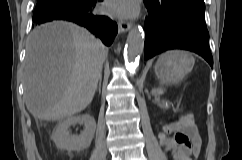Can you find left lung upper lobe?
<instances>
[{
	"mask_svg": "<svg viewBox=\"0 0 242 160\" xmlns=\"http://www.w3.org/2000/svg\"><path fill=\"white\" fill-rule=\"evenodd\" d=\"M164 6L172 9L176 8H192L199 11H205L204 0H154Z\"/></svg>",
	"mask_w": 242,
	"mask_h": 160,
	"instance_id": "left-lung-upper-lobe-1",
	"label": "left lung upper lobe"
}]
</instances>
